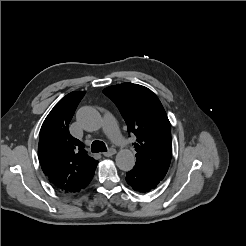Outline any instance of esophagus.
I'll list each match as a JSON object with an SVG mask.
<instances>
[{
    "label": "esophagus",
    "mask_w": 246,
    "mask_h": 246,
    "mask_svg": "<svg viewBox=\"0 0 246 246\" xmlns=\"http://www.w3.org/2000/svg\"><path fill=\"white\" fill-rule=\"evenodd\" d=\"M116 153V150L113 148H110L107 152H104L103 155L105 157H111Z\"/></svg>",
    "instance_id": "obj_1"
}]
</instances>
